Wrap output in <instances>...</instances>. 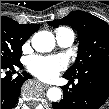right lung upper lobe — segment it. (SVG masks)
<instances>
[{
    "instance_id": "obj_1",
    "label": "right lung upper lobe",
    "mask_w": 109,
    "mask_h": 109,
    "mask_svg": "<svg viewBox=\"0 0 109 109\" xmlns=\"http://www.w3.org/2000/svg\"><path fill=\"white\" fill-rule=\"evenodd\" d=\"M1 24L3 25H9L17 28L23 36H25L27 39L35 33L40 25L38 24H19L18 22L14 21L11 18L8 17H1Z\"/></svg>"
}]
</instances>
